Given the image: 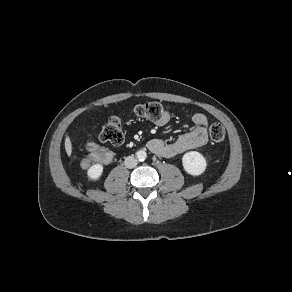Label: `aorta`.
<instances>
[{"instance_id":"1","label":"aorta","mask_w":292,"mask_h":292,"mask_svg":"<svg viewBox=\"0 0 292 292\" xmlns=\"http://www.w3.org/2000/svg\"><path fill=\"white\" fill-rule=\"evenodd\" d=\"M136 157L139 161H144L147 158V153L144 150H139L136 153Z\"/></svg>"}]
</instances>
